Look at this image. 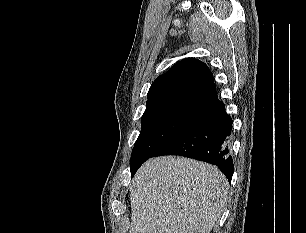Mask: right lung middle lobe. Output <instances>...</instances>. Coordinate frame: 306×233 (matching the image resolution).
<instances>
[{"label":"right lung middle lobe","instance_id":"1","mask_svg":"<svg viewBox=\"0 0 306 233\" xmlns=\"http://www.w3.org/2000/svg\"><path fill=\"white\" fill-rule=\"evenodd\" d=\"M203 109L185 101H161L147 105L141 118L142 129L131 154V172L137 170Z\"/></svg>","mask_w":306,"mask_h":233}]
</instances>
